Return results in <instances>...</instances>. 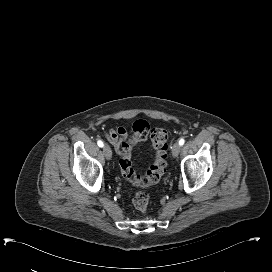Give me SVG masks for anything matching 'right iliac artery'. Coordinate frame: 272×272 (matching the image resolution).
I'll list each match as a JSON object with an SVG mask.
<instances>
[{
	"label": "right iliac artery",
	"instance_id": "1",
	"mask_svg": "<svg viewBox=\"0 0 272 272\" xmlns=\"http://www.w3.org/2000/svg\"><path fill=\"white\" fill-rule=\"evenodd\" d=\"M97 144H98L99 147H103V146H104V143H103V141H101V140H99V141L97 142Z\"/></svg>",
	"mask_w": 272,
	"mask_h": 272
}]
</instances>
